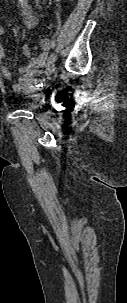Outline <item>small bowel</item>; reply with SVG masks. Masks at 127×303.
<instances>
[{"mask_svg": "<svg viewBox=\"0 0 127 303\" xmlns=\"http://www.w3.org/2000/svg\"><path fill=\"white\" fill-rule=\"evenodd\" d=\"M17 4L24 17L25 26L28 28L34 27L37 24V19L34 15L30 0H17ZM4 33L5 27L0 23V70L5 79L11 80L13 74L5 63L6 53L1 43V37ZM39 45L42 49V53L36 57H31L30 50L27 46L22 48V54L28 59V63L18 68L19 78L12 84V90L14 92L32 91L42 83V79H39L38 76L41 75L42 69L47 64L51 42L47 38H42L40 39Z\"/></svg>", "mask_w": 127, "mask_h": 303, "instance_id": "small-bowel-1", "label": "small bowel"}]
</instances>
